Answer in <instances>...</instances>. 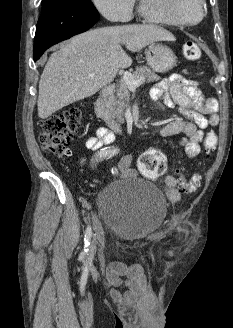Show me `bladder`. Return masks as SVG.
<instances>
[{"label": "bladder", "instance_id": "1", "mask_svg": "<svg viewBox=\"0 0 233 328\" xmlns=\"http://www.w3.org/2000/svg\"><path fill=\"white\" fill-rule=\"evenodd\" d=\"M102 225L121 240L137 241L164 222L168 202L154 184L130 179L107 185L97 197Z\"/></svg>", "mask_w": 233, "mask_h": 328}]
</instances>
